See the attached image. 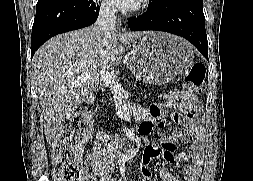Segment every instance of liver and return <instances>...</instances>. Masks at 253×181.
I'll return each instance as SVG.
<instances>
[{
    "instance_id": "obj_1",
    "label": "liver",
    "mask_w": 253,
    "mask_h": 181,
    "mask_svg": "<svg viewBox=\"0 0 253 181\" xmlns=\"http://www.w3.org/2000/svg\"><path fill=\"white\" fill-rule=\"evenodd\" d=\"M149 32L103 33L95 25L58 35L35 53L32 82L44 115L46 141L51 143L78 107L91 98L100 81V70L120 64L126 44ZM84 73H88L85 76Z\"/></svg>"
}]
</instances>
